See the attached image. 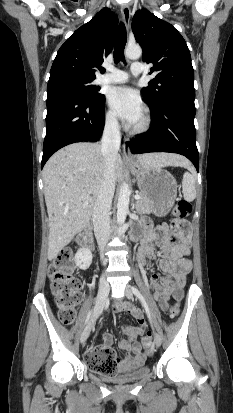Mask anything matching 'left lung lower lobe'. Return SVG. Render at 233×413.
Wrapping results in <instances>:
<instances>
[{
	"mask_svg": "<svg viewBox=\"0 0 233 413\" xmlns=\"http://www.w3.org/2000/svg\"><path fill=\"white\" fill-rule=\"evenodd\" d=\"M154 125L128 142L133 154L172 152L186 156L199 170L194 117L195 106L180 101L162 104L151 109Z\"/></svg>",
	"mask_w": 233,
	"mask_h": 413,
	"instance_id": "obj_1",
	"label": "left lung lower lobe"
}]
</instances>
